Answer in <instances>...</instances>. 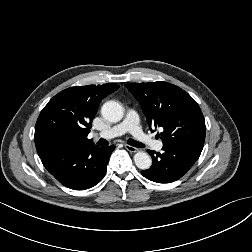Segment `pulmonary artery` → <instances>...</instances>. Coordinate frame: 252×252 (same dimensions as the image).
<instances>
[{"label": "pulmonary artery", "instance_id": "obj_1", "mask_svg": "<svg viewBox=\"0 0 252 252\" xmlns=\"http://www.w3.org/2000/svg\"><path fill=\"white\" fill-rule=\"evenodd\" d=\"M126 132L131 133L137 139V141H139L143 145L151 147L157 151H160L163 147V143L161 141L155 140L151 135L146 134L142 130L139 124V116L135 110H129L122 122L104 132L99 133V136L102 138L110 139L113 137L121 136Z\"/></svg>", "mask_w": 252, "mask_h": 252}]
</instances>
